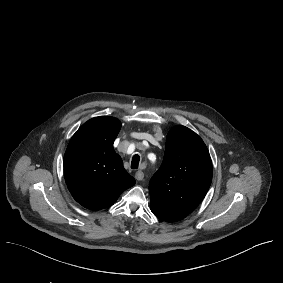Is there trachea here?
Segmentation results:
<instances>
[{
	"label": "trachea",
	"instance_id": "trachea-1",
	"mask_svg": "<svg viewBox=\"0 0 283 283\" xmlns=\"http://www.w3.org/2000/svg\"><path fill=\"white\" fill-rule=\"evenodd\" d=\"M139 161H140L139 155L135 154L132 157V160H131V168L132 169H137L139 167Z\"/></svg>",
	"mask_w": 283,
	"mask_h": 283
}]
</instances>
